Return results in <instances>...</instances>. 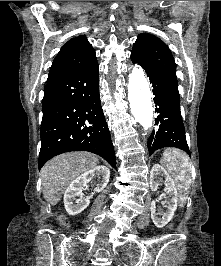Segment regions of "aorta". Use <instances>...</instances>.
Returning a JSON list of instances; mask_svg holds the SVG:
<instances>
[{
  "label": "aorta",
  "instance_id": "aorta-1",
  "mask_svg": "<svg viewBox=\"0 0 221 266\" xmlns=\"http://www.w3.org/2000/svg\"><path fill=\"white\" fill-rule=\"evenodd\" d=\"M128 97L136 121L144 130L150 129L153 122L151 91L143 69L138 66L129 75Z\"/></svg>",
  "mask_w": 221,
  "mask_h": 266
}]
</instances>
